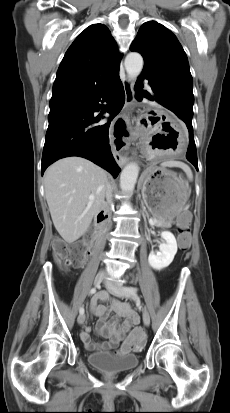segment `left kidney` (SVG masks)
I'll return each instance as SVG.
<instances>
[{
	"instance_id": "5707ae66",
	"label": "left kidney",
	"mask_w": 230,
	"mask_h": 413,
	"mask_svg": "<svg viewBox=\"0 0 230 413\" xmlns=\"http://www.w3.org/2000/svg\"><path fill=\"white\" fill-rule=\"evenodd\" d=\"M161 238L165 241L160 245V251L151 252L148 257L149 265L155 270L168 267L177 253V242L174 235L169 231H162Z\"/></svg>"
}]
</instances>
